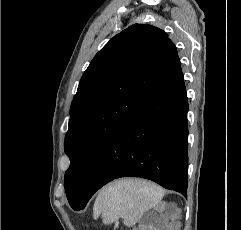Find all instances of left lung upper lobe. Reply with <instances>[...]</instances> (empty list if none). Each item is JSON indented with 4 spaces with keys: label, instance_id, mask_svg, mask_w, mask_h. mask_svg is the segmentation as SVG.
<instances>
[{
    "label": "left lung upper lobe",
    "instance_id": "1",
    "mask_svg": "<svg viewBox=\"0 0 241 230\" xmlns=\"http://www.w3.org/2000/svg\"><path fill=\"white\" fill-rule=\"evenodd\" d=\"M180 67L165 31L134 24L114 36L84 72L71 104L65 152V190L78 203L102 147Z\"/></svg>",
    "mask_w": 241,
    "mask_h": 230
}]
</instances>
